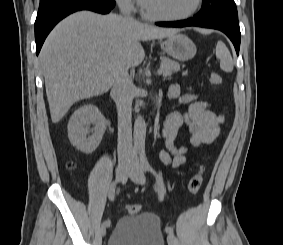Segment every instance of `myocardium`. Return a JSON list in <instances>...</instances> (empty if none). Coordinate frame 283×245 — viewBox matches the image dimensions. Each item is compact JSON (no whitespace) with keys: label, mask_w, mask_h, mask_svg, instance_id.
Instances as JSON below:
<instances>
[{"label":"myocardium","mask_w":283,"mask_h":245,"mask_svg":"<svg viewBox=\"0 0 283 245\" xmlns=\"http://www.w3.org/2000/svg\"><path fill=\"white\" fill-rule=\"evenodd\" d=\"M202 2L203 0H195L194 5L189 11L178 16H163V15L153 14L145 8L143 3H141V11H142V15L149 20L162 21V22H176L192 17L200 9Z\"/></svg>","instance_id":"myocardium-1"}]
</instances>
